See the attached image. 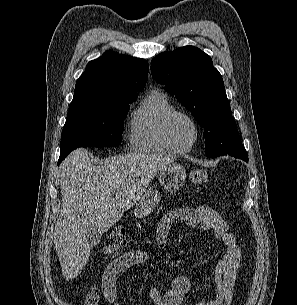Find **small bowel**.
<instances>
[{
    "mask_svg": "<svg viewBox=\"0 0 297 305\" xmlns=\"http://www.w3.org/2000/svg\"><path fill=\"white\" fill-rule=\"evenodd\" d=\"M176 222L212 230L214 237L221 240L225 247V253L215 267V296L197 305H231L233 291L242 268V250L230 232L227 222L216 210L207 205L173 209L158 225L157 243L160 247L164 248L167 245L169 231ZM147 260L148 256L144 251L132 250L108 264L103 274L101 288H93L89 291L85 305H100L101 298L112 305H120L117 298L119 275L146 263ZM189 291L188 278L178 275L173 279L171 289L164 295L156 287L150 290L149 295L155 305H180Z\"/></svg>",
    "mask_w": 297,
    "mask_h": 305,
    "instance_id": "small-bowel-1",
    "label": "small bowel"
}]
</instances>
